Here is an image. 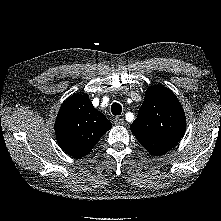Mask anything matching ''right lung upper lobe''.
<instances>
[{
	"instance_id": "obj_1",
	"label": "right lung upper lobe",
	"mask_w": 221,
	"mask_h": 221,
	"mask_svg": "<svg viewBox=\"0 0 221 221\" xmlns=\"http://www.w3.org/2000/svg\"><path fill=\"white\" fill-rule=\"evenodd\" d=\"M111 128L110 121L93 107L89 96L79 94L62 104L54 127L59 145L74 157L87 155Z\"/></svg>"
}]
</instances>
